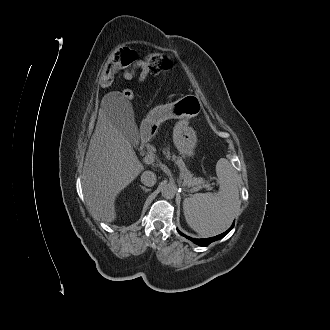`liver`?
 Here are the masks:
<instances>
[{
  "label": "liver",
  "mask_w": 330,
  "mask_h": 330,
  "mask_svg": "<svg viewBox=\"0 0 330 330\" xmlns=\"http://www.w3.org/2000/svg\"><path fill=\"white\" fill-rule=\"evenodd\" d=\"M150 116L143 120L140 134L149 132ZM144 169L130 140L116 123L114 107L102 105L86 153L82 188L92 214L106 223L116 219L115 200Z\"/></svg>",
  "instance_id": "1"
}]
</instances>
